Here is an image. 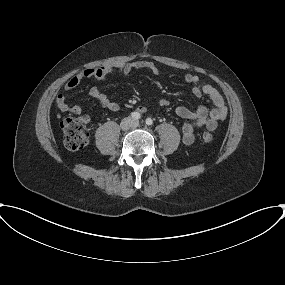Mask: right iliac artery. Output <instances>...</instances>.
Segmentation results:
<instances>
[{
  "label": "right iliac artery",
  "mask_w": 285,
  "mask_h": 285,
  "mask_svg": "<svg viewBox=\"0 0 285 285\" xmlns=\"http://www.w3.org/2000/svg\"><path fill=\"white\" fill-rule=\"evenodd\" d=\"M131 117H132L133 119H140V118H141V115H140V113H138V112H132V113H131Z\"/></svg>",
  "instance_id": "1"
}]
</instances>
